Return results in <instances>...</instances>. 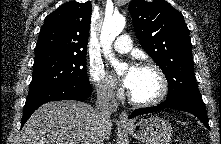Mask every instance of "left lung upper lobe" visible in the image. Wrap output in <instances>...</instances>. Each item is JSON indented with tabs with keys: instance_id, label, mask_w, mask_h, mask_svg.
Wrapping results in <instances>:
<instances>
[{
	"instance_id": "1",
	"label": "left lung upper lobe",
	"mask_w": 221,
	"mask_h": 144,
	"mask_svg": "<svg viewBox=\"0 0 221 144\" xmlns=\"http://www.w3.org/2000/svg\"><path fill=\"white\" fill-rule=\"evenodd\" d=\"M129 11L140 44L167 78V99L203 102L195 80L192 44L183 15L165 0H132Z\"/></svg>"
}]
</instances>
